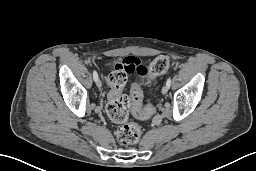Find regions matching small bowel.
<instances>
[{"instance_id": "1", "label": "small bowel", "mask_w": 256, "mask_h": 171, "mask_svg": "<svg viewBox=\"0 0 256 171\" xmlns=\"http://www.w3.org/2000/svg\"><path fill=\"white\" fill-rule=\"evenodd\" d=\"M114 69H122L126 75L138 74L141 76L147 75L149 70L144 62L136 56H127L121 61L116 62L113 65ZM150 115L142 117L141 119H146Z\"/></svg>"}]
</instances>
